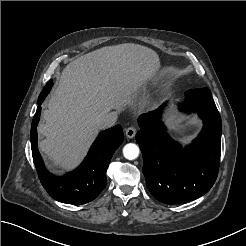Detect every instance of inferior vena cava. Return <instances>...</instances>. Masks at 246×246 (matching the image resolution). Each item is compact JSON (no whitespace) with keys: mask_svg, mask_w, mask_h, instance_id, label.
Segmentation results:
<instances>
[{"mask_svg":"<svg viewBox=\"0 0 246 246\" xmlns=\"http://www.w3.org/2000/svg\"><path fill=\"white\" fill-rule=\"evenodd\" d=\"M117 119V114L115 112H110L102 116L98 121V126L100 128H109L112 127Z\"/></svg>","mask_w":246,"mask_h":246,"instance_id":"inferior-vena-cava-1","label":"inferior vena cava"}]
</instances>
